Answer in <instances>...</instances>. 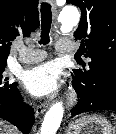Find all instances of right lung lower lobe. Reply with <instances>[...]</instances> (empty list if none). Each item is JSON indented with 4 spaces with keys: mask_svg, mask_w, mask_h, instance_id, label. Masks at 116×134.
I'll return each mask as SVG.
<instances>
[{
    "mask_svg": "<svg viewBox=\"0 0 116 134\" xmlns=\"http://www.w3.org/2000/svg\"><path fill=\"white\" fill-rule=\"evenodd\" d=\"M0 118L15 125L22 133L28 134L34 122V111L23 102L18 91L11 101L0 103Z\"/></svg>",
    "mask_w": 116,
    "mask_h": 134,
    "instance_id": "obj_1",
    "label": "right lung lower lobe"
}]
</instances>
